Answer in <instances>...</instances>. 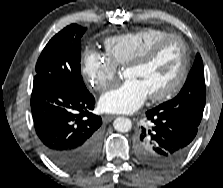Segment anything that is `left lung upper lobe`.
Returning a JSON list of instances; mask_svg holds the SVG:
<instances>
[{
	"label": "left lung upper lobe",
	"instance_id": "5c2ea615",
	"mask_svg": "<svg viewBox=\"0 0 223 188\" xmlns=\"http://www.w3.org/2000/svg\"><path fill=\"white\" fill-rule=\"evenodd\" d=\"M205 99L204 67L200 54H197L192 69L179 94L174 99L160 104L155 109L170 118L198 126L202 119Z\"/></svg>",
	"mask_w": 223,
	"mask_h": 188
}]
</instances>
